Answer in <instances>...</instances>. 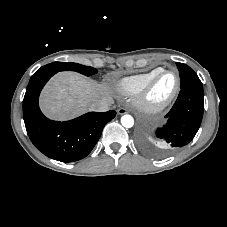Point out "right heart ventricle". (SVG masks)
Listing matches in <instances>:
<instances>
[{
	"instance_id": "obj_1",
	"label": "right heart ventricle",
	"mask_w": 227,
	"mask_h": 227,
	"mask_svg": "<svg viewBox=\"0 0 227 227\" xmlns=\"http://www.w3.org/2000/svg\"><path fill=\"white\" fill-rule=\"evenodd\" d=\"M161 69L162 68L158 67L144 73L124 77L116 83L117 89L125 95L137 94Z\"/></svg>"
}]
</instances>
